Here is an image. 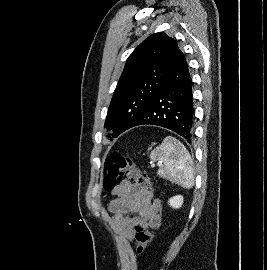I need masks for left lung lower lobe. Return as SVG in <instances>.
<instances>
[{
  "instance_id": "obj_1",
  "label": "left lung lower lobe",
  "mask_w": 267,
  "mask_h": 270,
  "mask_svg": "<svg viewBox=\"0 0 267 270\" xmlns=\"http://www.w3.org/2000/svg\"><path fill=\"white\" fill-rule=\"evenodd\" d=\"M191 86L188 65L184 54L180 52L167 81L132 127L146 124L161 126L191 143L194 137Z\"/></svg>"
}]
</instances>
